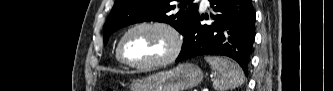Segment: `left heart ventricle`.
<instances>
[{
	"mask_svg": "<svg viewBox=\"0 0 333 91\" xmlns=\"http://www.w3.org/2000/svg\"><path fill=\"white\" fill-rule=\"evenodd\" d=\"M172 47L170 36L156 28H141L129 35L125 55L134 63H147L167 56Z\"/></svg>",
	"mask_w": 333,
	"mask_h": 91,
	"instance_id": "obj_1",
	"label": "left heart ventricle"
}]
</instances>
